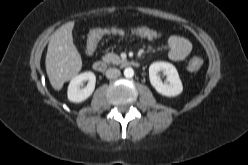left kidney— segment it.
Listing matches in <instances>:
<instances>
[{
    "label": "left kidney",
    "instance_id": "1",
    "mask_svg": "<svg viewBox=\"0 0 248 165\" xmlns=\"http://www.w3.org/2000/svg\"><path fill=\"white\" fill-rule=\"evenodd\" d=\"M163 71L167 75V83H163L158 72ZM149 79L155 90L167 97H175L182 90V82L180 80L177 69L168 62H154L149 67Z\"/></svg>",
    "mask_w": 248,
    "mask_h": 165
}]
</instances>
